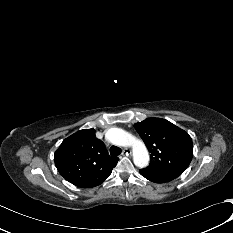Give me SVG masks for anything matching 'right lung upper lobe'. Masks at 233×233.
Listing matches in <instances>:
<instances>
[{"mask_svg": "<svg viewBox=\"0 0 233 233\" xmlns=\"http://www.w3.org/2000/svg\"><path fill=\"white\" fill-rule=\"evenodd\" d=\"M55 165L70 183L81 188L100 185L116 166L94 129H83L69 136L55 152Z\"/></svg>", "mask_w": 233, "mask_h": 233, "instance_id": "right-lung-upper-lobe-1", "label": "right lung upper lobe"}]
</instances>
